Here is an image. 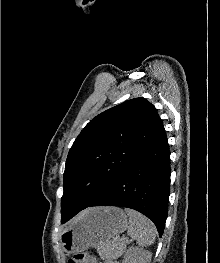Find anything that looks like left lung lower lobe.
<instances>
[{"label": "left lung lower lobe", "instance_id": "0a47b994", "mask_svg": "<svg viewBox=\"0 0 220 263\" xmlns=\"http://www.w3.org/2000/svg\"><path fill=\"white\" fill-rule=\"evenodd\" d=\"M170 174L169 145L162 127L88 207L120 206L137 210L154 222L161 237L168 212ZM78 212L67 214L62 223Z\"/></svg>", "mask_w": 220, "mask_h": 263}]
</instances>
